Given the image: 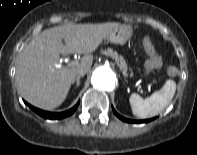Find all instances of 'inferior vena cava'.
Instances as JSON below:
<instances>
[{
  "label": "inferior vena cava",
  "instance_id": "1",
  "mask_svg": "<svg viewBox=\"0 0 197 155\" xmlns=\"http://www.w3.org/2000/svg\"><path fill=\"white\" fill-rule=\"evenodd\" d=\"M89 70L87 68H80L77 71V76H84Z\"/></svg>",
  "mask_w": 197,
  "mask_h": 155
}]
</instances>
